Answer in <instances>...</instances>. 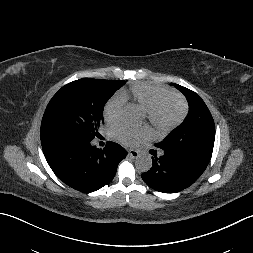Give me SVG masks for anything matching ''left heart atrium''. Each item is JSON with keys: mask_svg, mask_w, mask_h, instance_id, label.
Returning a JSON list of instances; mask_svg holds the SVG:
<instances>
[{"mask_svg": "<svg viewBox=\"0 0 253 253\" xmlns=\"http://www.w3.org/2000/svg\"><path fill=\"white\" fill-rule=\"evenodd\" d=\"M115 138L123 144L134 145L139 140L150 136V131L146 127L132 128L129 126H120L114 129Z\"/></svg>", "mask_w": 253, "mask_h": 253, "instance_id": "1", "label": "left heart atrium"}]
</instances>
